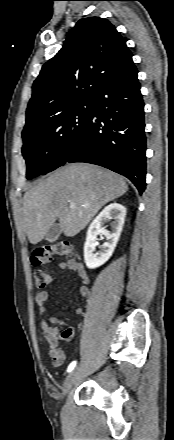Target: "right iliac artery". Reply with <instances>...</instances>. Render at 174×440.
Wrapping results in <instances>:
<instances>
[{
  "mask_svg": "<svg viewBox=\"0 0 174 440\" xmlns=\"http://www.w3.org/2000/svg\"><path fill=\"white\" fill-rule=\"evenodd\" d=\"M75 366H76V361H73L72 363H70V365L68 366L67 372H71Z\"/></svg>",
  "mask_w": 174,
  "mask_h": 440,
  "instance_id": "82829eb1",
  "label": "right iliac artery"
}]
</instances>
